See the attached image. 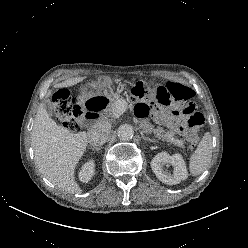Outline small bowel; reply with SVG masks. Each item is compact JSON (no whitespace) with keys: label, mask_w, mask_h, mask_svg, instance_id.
I'll list each match as a JSON object with an SVG mask.
<instances>
[{"label":"small bowel","mask_w":248,"mask_h":248,"mask_svg":"<svg viewBox=\"0 0 248 248\" xmlns=\"http://www.w3.org/2000/svg\"><path fill=\"white\" fill-rule=\"evenodd\" d=\"M135 111L136 115L140 118L147 117L150 113H152L156 121L175 129L182 135H188L189 129L187 125L182 123L177 115L153 111L148 103L138 104Z\"/></svg>","instance_id":"small-bowel-1"}]
</instances>
